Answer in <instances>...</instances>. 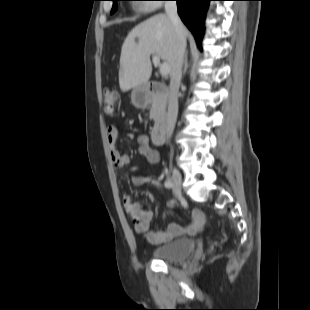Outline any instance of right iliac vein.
I'll return each mask as SVG.
<instances>
[{
    "instance_id": "obj_1",
    "label": "right iliac vein",
    "mask_w": 310,
    "mask_h": 310,
    "mask_svg": "<svg viewBox=\"0 0 310 310\" xmlns=\"http://www.w3.org/2000/svg\"><path fill=\"white\" fill-rule=\"evenodd\" d=\"M171 181L174 184V193L176 197H181V174L180 172L176 169H172V176H171Z\"/></svg>"
}]
</instances>
